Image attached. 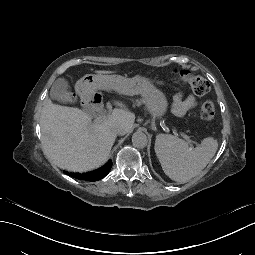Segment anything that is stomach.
Masks as SVG:
<instances>
[{
  "instance_id": "0dacf381",
  "label": "stomach",
  "mask_w": 255,
  "mask_h": 255,
  "mask_svg": "<svg viewBox=\"0 0 255 255\" xmlns=\"http://www.w3.org/2000/svg\"><path fill=\"white\" fill-rule=\"evenodd\" d=\"M120 86L121 93L127 95L139 94L143 96L145 107L154 121L153 127H157L165 114L164 104L168 101V96L165 91L158 89L148 78L141 75H136L125 80L122 79ZM110 88L117 90L119 83L112 81Z\"/></svg>"
}]
</instances>
